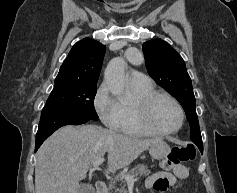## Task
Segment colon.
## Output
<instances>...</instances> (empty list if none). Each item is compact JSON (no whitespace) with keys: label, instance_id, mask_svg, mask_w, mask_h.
<instances>
[{"label":"colon","instance_id":"colon-1","mask_svg":"<svg viewBox=\"0 0 237 193\" xmlns=\"http://www.w3.org/2000/svg\"><path fill=\"white\" fill-rule=\"evenodd\" d=\"M196 151L193 145L175 146L168 157L162 161L161 167L165 171H171L195 158Z\"/></svg>","mask_w":237,"mask_h":193}]
</instances>
